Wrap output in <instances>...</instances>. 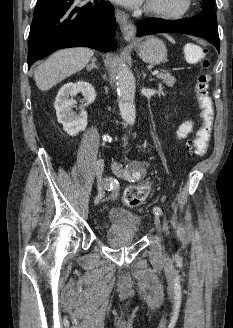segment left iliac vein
I'll list each match as a JSON object with an SVG mask.
<instances>
[{"instance_id":"4c4485c4","label":"left iliac vein","mask_w":233,"mask_h":328,"mask_svg":"<svg viewBox=\"0 0 233 328\" xmlns=\"http://www.w3.org/2000/svg\"><path fill=\"white\" fill-rule=\"evenodd\" d=\"M111 167H112L113 173L117 177H119V178H129V173L127 171H125L119 163L114 161L112 163ZM154 225L157 228V230L161 233V221H160V218L158 216H155V218H154Z\"/></svg>"}]
</instances>
